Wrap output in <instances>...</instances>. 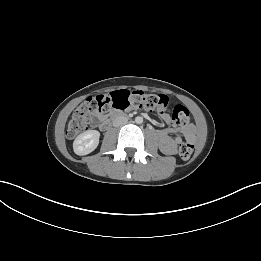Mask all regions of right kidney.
<instances>
[{
    "label": "right kidney",
    "instance_id": "right-kidney-1",
    "mask_svg": "<svg viewBox=\"0 0 261 261\" xmlns=\"http://www.w3.org/2000/svg\"><path fill=\"white\" fill-rule=\"evenodd\" d=\"M100 133L97 130H88L76 137L73 149L77 155H87L94 151L99 144Z\"/></svg>",
    "mask_w": 261,
    "mask_h": 261
}]
</instances>
